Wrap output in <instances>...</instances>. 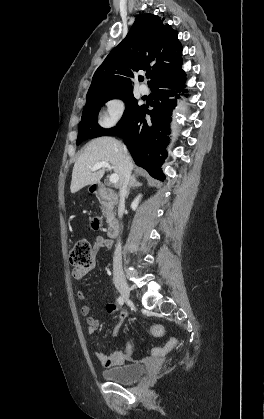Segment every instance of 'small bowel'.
I'll return each mask as SVG.
<instances>
[{"mask_svg":"<svg viewBox=\"0 0 264 419\" xmlns=\"http://www.w3.org/2000/svg\"><path fill=\"white\" fill-rule=\"evenodd\" d=\"M112 246H113V242L110 239L104 238L102 236H97L92 245L93 255H96L101 248L110 249L112 248ZM91 268L84 269V268L75 267L72 270V276L78 283L81 284L85 276L87 275V273L91 270ZM78 296L81 299H85V294L82 289L78 291ZM106 310L108 314L111 315L112 318L116 321V326L114 327L112 334L114 337H117L120 334L121 325L123 321L125 320L126 315L124 313H118L116 306L112 303L106 304ZM90 311L91 309L87 305L82 306L80 309L81 314L84 317H86V323L88 325L89 334H93L100 329L101 323L98 319L90 316ZM154 330L159 331L156 337H161L163 335V328L160 325H154L151 328V332ZM174 342H177V340L172 338L164 346L152 348L150 351V355L152 357L164 356L175 346L173 345ZM133 352H134V349H133L132 344L127 343L125 345L124 351H115L111 354L98 351L96 353V356L104 367L110 368V367L122 365L124 362L130 359Z\"/></svg>","mask_w":264,"mask_h":419,"instance_id":"1","label":"small bowel"}]
</instances>
